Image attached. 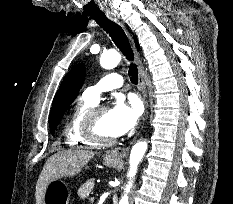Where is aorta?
<instances>
[{
  "mask_svg": "<svg viewBox=\"0 0 233 204\" xmlns=\"http://www.w3.org/2000/svg\"><path fill=\"white\" fill-rule=\"evenodd\" d=\"M121 61V55L116 50H109L102 54L100 58V64L104 69H113L116 67ZM147 142L139 141L137 142L131 150L130 153V160H129V171L128 177L130 181L126 185L125 194L119 201V204H128V196L131 187H132V180L136 175L138 165L140 164L146 150H147Z\"/></svg>",
  "mask_w": 233,
  "mask_h": 204,
  "instance_id": "obj_1",
  "label": "aorta"
}]
</instances>
